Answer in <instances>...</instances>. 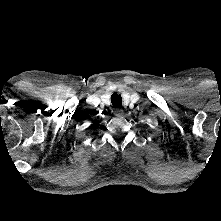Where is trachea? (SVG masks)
<instances>
[{
	"mask_svg": "<svg viewBox=\"0 0 221 221\" xmlns=\"http://www.w3.org/2000/svg\"><path fill=\"white\" fill-rule=\"evenodd\" d=\"M111 103L114 107H120L122 105L121 95L114 92L111 96Z\"/></svg>",
	"mask_w": 221,
	"mask_h": 221,
	"instance_id": "1",
	"label": "trachea"
}]
</instances>
